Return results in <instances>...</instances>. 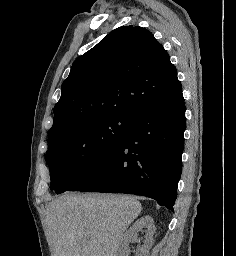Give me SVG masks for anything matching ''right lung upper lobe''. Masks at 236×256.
<instances>
[{
	"label": "right lung upper lobe",
	"instance_id": "right-lung-upper-lobe-1",
	"mask_svg": "<svg viewBox=\"0 0 236 256\" xmlns=\"http://www.w3.org/2000/svg\"><path fill=\"white\" fill-rule=\"evenodd\" d=\"M180 87L168 53L150 31L119 27L73 63L49 135L106 117L136 119Z\"/></svg>",
	"mask_w": 236,
	"mask_h": 256
}]
</instances>
